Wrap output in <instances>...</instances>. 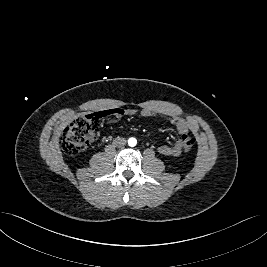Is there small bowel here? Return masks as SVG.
<instances>
[{"mask_svg": "<svg viewBox=\"0 0 267 267\" xmlns=\"http://www.w3.org/2000/svg\"><path fill=\"white\" fill-rule=\"evenodd\" d=\"M101 114L103 117L112 116L114 121H117L120 116L122 115H128L133 116L137 113V110L133 108L129 109H111V110H102L97 112ZM139 114L142 117H160L163 114L157 110L151 109V108H143L139 111ZM170 122L175 126L177 132L181 135H187L189 132V124L182 118L177 116H171ZM183 148V143L181 138L175 141L171 145L163 144L158 147V151L160 154L165 156H178Z\"/></svg>", "mask_w": 267, "mask_h": 267, "instance_id": "obj_1", "label": "small bowel"}]
</instances>
